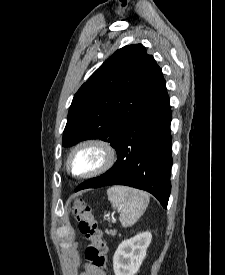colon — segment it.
Segmentation results:
<instances>
[{"mask_svg": "<svg viewBox=\"0 0 225 275\" xmlns=\"http://www.w3.org/2000/svg\"><path fill=\"white\" fill-rule=\"evenodd\" d=\"M73 214L79 223L81 233L89 242L85 249V258L91 265L102 270L107 275V245L91 207L84 200H76L73 204Z\"/></svg>", "mask_w": 225, "mask_h": 275, "instance_id": "colon-1", "label": "colon"}]
</instances>
